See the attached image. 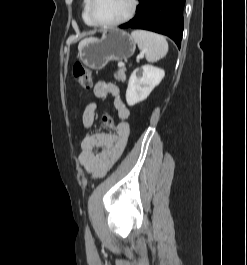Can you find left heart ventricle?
<instances>
[{"label":"left heart ventricle","instance_id":"1","mask_svg":"<svg viewBox=\"0 0 247 265\" xmlns=\"http://www.w3.org/2000/svg\"><path fill=\"white\" fill-rule=\"evenodd\" d=\"M131 0H95L94 16L101 23H111L124 17L130 10Z\"/></svg>","mask_w":247,"mask_h":265}]
</instances>
